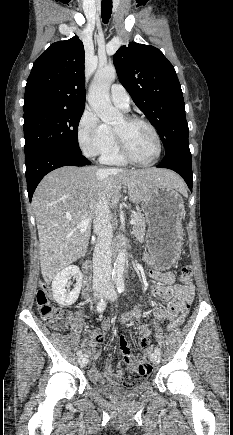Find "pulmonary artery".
I'll use <instances>...</instances> for the list:
<instances>
[{
	"instance_id": "1",
	"label": "pulmonary artery",
	"mask_w": 233,
	"mask_h": 435,
	"mask_svg": "<svg viewBox=\"0 0 233 435\" xmlns=\"http://www.w3.org/2000/svg\"><path fill=\"white\" fill-rule=\"evenodd\" d=\"M110 97L112 102L119 108L125 111L129 109L130 97L122 85H112L110 90Z\"/></svg>"
}]
</instances>
